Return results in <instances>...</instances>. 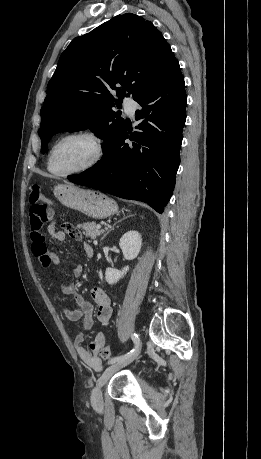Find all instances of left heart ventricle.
<instances>
[{
  "instance_id": "obj_1",
  "label": "left heart ventricle",
  "mask_w": 261,
  "mask_h": 459,
  "mask_svg": "<svg viewBox=\"0 0 261 459\" xmlns=\"http://www.w3.org/2000/svg\"><path fill=\"white\" fill-rule=\"evenodd\" d=\"M93 147L85 138H70L60 143L55 149L51 168L54 172L64 173L84 165L92 156Z\"/></svg>"
}]
</instances>
